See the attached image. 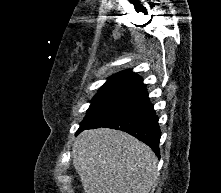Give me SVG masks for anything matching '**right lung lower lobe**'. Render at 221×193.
<instances>
[{
	"mask_svg": "<svg viewBox=\"0 0 221 193\" xmlns=\"http://www.w3.org/2000/svg\"><path fill=\"white\" fill-rule=\"evenodd\" d=\"M108 127L125 131L143 141L159 156L161 131L158 117L150 103L147 90L122 108L113 111L103 118L80 126L77 134L85 129Z\"/></svg>",
	"mask_w": 221,
	"mask_h": 193,
	"instance_id": "obj_1",
	"label": "right lung lower lobe"
}]
</instances>
